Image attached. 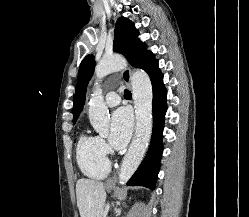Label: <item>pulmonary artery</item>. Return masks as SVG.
<instances>
[{
	"mask_svg": "<svg viewBox=\"0 0 249 217\" xmlns=\"http://www.w3.org/2000/svg\"><path fill=\"white\" fill-rule=\"evenodd\" d=\"M105 101L110 107L116 106L120 102V95L117 91H111L106 95Z\"/></svg>",
	"mask_w": 249,
	"mask_h": 217,
	"instance_id": "e3ab8cb5",
	"label": "pulmonary artery"
}]
</instances>
